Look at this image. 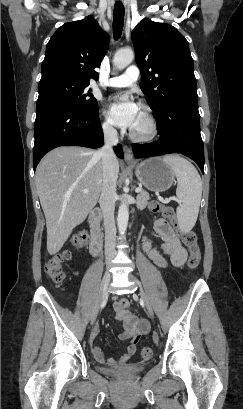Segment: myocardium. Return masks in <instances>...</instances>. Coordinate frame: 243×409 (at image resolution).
I'll list each match as a JSON object with an SVG mask.
<instances>
[{"mask_svg":"<svg viewBox=\"0 0 243 409\" xmlns=\"http://www.w3.org/2000/svg\"><path fill=\"white\" fill-rule=\"evenodd\" d=\"M139 108H141L145 114L146 121L148 124V130L144 134H138L130 130L129 136L133 141L136 142H150L153 141L159 134V125L158 121L153 114L151 108L146 103H139Z\"/></svg>","mask_w":243,"mask_h":409,"instance_id":"obj_1","label":"myocardium"}]
</instances>
